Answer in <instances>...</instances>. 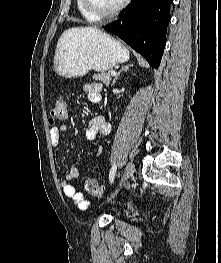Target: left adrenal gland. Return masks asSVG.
Listing matches in <instances>:
<instances>
[{"label":"left adrenal gland","mask_w":221,"mask_h":263,"mask_svg":"<svg viewBox=\"0 0 221 263\" xmlns=\"http://www.w3.org/2000/svg\"><path fill=\"white\" fill-rule=\"evenodd\" d=\"M131 66H132V64H131V65H126V66L122 67L121 70L118 72V74L115 76V78H114L113 83H112L111 86H114L115 83H116V81H117V79H118V77L120 76V74H121L123 71H127V70L129 69V67H131Z\"/></svg>","instance_id":"obj_1"}]
</instances>
